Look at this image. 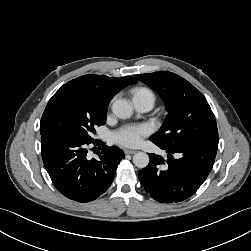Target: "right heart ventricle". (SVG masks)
Instances as JSON below:
<instances>
[{"label":"right heart ventricle","instance_id":"e07e8e85","mask_svg":"<svg viewBox=\"0 0 251 251\" xmlns=\"http://www.w3.org/2000/svg\"><path fill=\"white\" fill-rule=\"evenodd\" d=\"M139 96H148L151 97L154 100V94L153 92L146 88V87H138L133 90V98L134 97H139Z\"/></svg>","mask_w":251,"mask_h":251}]
</instances>
